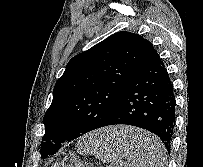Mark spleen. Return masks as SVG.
Returning <instances> with one entry per match:
<instances>
[{
    "instance_id": "spleen-1",
    "label": "spleen",
    "mask_w": 203,
    "mask_h": 167,
    "mask_svg": "<svg viewBox=\"0 0 203 167\" xmlns=\"http://www.w3.org/2000/svg\"><path fill=\"white\" fill-rule=\"evenodd\" d=\"M108 135L100 132L89 134L81 144V150L84 153H90L100 158L103 162H110L108 167H165L166 153L161 141L152 136L149 138L142 149L136 150L137 156L129 153L132 149L130 145L110 148L107 146ZM124 147V148H123ZM124 149L123 156L114 153V149Z\"/></svg>"
}]
</instances>
